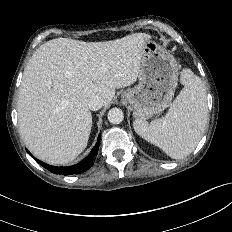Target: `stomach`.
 I'll return each instance as SVG.
<instances>
[{
    "label": "stomach",
    "mask_w": 232,
    "mask_h": 232,
    "mask_svg": "<svg viewBox=\"0 0 232 232\" xmlns=\"http://www.w3.org/2000/svg\"><path fill=\"white\" fill-rule=\"evenodd\" d=\"M175 57L150 39L142 50L138 84L123 92L122 99L133 108L136 119H147L169 106L178 84Z\"/></svg>",
    "instance_id": "1"
}]
</instances>
